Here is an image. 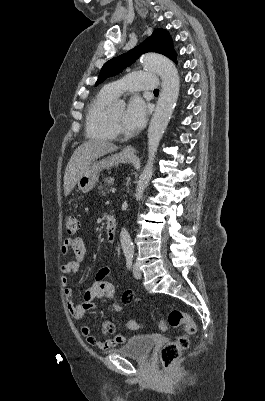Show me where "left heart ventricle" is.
I'll return each mask as SVG.
<instances>
[{
    "label": "left heart ventricle",
    "instance_id": "left-heart-ventricle-1",
    "mask_svg": "<svg viewBox=\"0 0 265 401\" xmlns=\"http://www.w3.org/2000/svg\"><path fill=\"white\" fill-rule=\"evenodd\" d=\"M113 118L115 122L124 127L125 119H124V108H117L112 111Z\"/></svg>",
    "mask_w": 265,
    "mask_h": 401
}]
</instances>
